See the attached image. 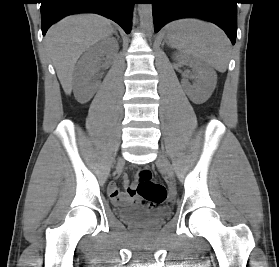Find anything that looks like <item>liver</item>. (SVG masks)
I'll use <instances>...</instances> for the list:
<instances>
[{
  "label": "liver",
  "mask_w": 279,
  "mask_h": 267,
  "mask_svg": "<svg viewBox=\"0 0 279 267\" xmlns=\"http://www.w3.org/2000/svg\"><path fill=\"white\" fill-rule=\"evenodd\" d=\"M114 31L111 21L100 15L80 14L53 25L45 37L57 76L67 95L72 91L75 64L80 55Z\"/></svg>",
  "instance_id": "obj_1"
}]
</instances>
